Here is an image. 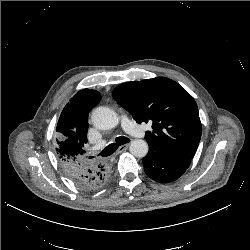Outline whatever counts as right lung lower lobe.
<instances>
[{"label":"right lung lower lobe","mask_w":250,"mask_h":250,"mask_svg":"<svg viewBox=\"0 0 250 250\" xmlns=\"http://www.w3.org/2000/svg\"><path fill=\"white\" fill-rule=\"evenodd\" d=\"M101 171H96L91 167H85L75 170L64 169L67 176L80 188L85 190H94L103 186L109 178V168L102 165Z\"/></svg>","instance_id":"98d812e1"}]
</instances>
